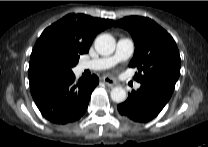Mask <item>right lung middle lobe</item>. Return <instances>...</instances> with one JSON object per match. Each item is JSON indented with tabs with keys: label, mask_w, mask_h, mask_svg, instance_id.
<instances>
[{
	"label": "right lung middle lobe",
	"mask_w": 208,
	"mask_h": 147,
	"mask_svg": "<svg viewBox=\"0 0 208 147\" xmlns=\"http://www.w3.org/2000/svg\"><path fill=\"white\" fill-rule=\"evenodd\" d=\"M78 63V59H71L65 62L64 66V74L68 75L72 73L71 68L74 67Z\"/></svg>",
	"instance_id": "right-lung-middle-lobe-1"
}]
</instances>
